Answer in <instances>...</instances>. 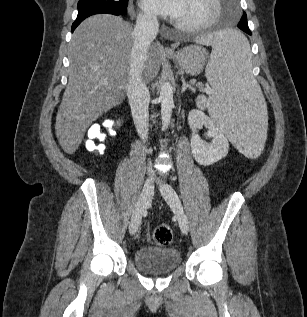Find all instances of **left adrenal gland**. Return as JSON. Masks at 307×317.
Masks as SVG:
<instances>
[{"instance_id": "a2214340", "label": "left adrenal gland", "mask_w": 307, "mask_h": 317, "mask_svg": "<svg viewBox=\"0 0 307 317\" xmlns=\"http://www.w3.org/2000/svg\"><path fill=\"white\" fill-rule=\"evenodd\" d=\"M182 87H181V93H184L187 89L191 90L192 92H195V89L192 87V85L187 84L185 79L182 77Z\"/></svg>"}]
</instances>
